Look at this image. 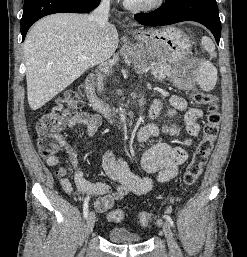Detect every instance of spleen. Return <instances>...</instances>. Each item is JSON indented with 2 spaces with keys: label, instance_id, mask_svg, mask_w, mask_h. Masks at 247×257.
Returning a JSON list of instances; mask_svg holds the SVG:
<instances>
[{
  "label": "spleen",
  "instance_id": "obj_1",
  "mask_svg": "<svg viewBox=\"0 0 247 257\" xmlns=\"http://www.w3.org/2000/svg\"><path fill=\"white\" fill-rule=\"evenodd\" d=\"M202 46L209 53L210 58L216 57L215 53V45L212 40L206 36L201 39ZM217 82V69L216 67L209 61H203L200 64L198 75H197V83L201 87L203 91H211Z\"/></svg>",
  "mask_w": 247,
  "mask_h": 257
}]
</instances>
